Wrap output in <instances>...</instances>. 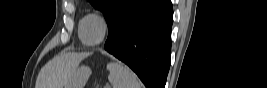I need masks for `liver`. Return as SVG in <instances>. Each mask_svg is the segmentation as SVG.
I'll list each match as a JSON object with an SVG mask.
<instances>
[{"mask_svg": "<svg viewBox=\"0 0 267 88\" xmlns=\"http://www.w3.org/2000/svg\"><path fill=\"white\" fill-rule=\"evenodd\" d=\"M86 56V53L57 55L41 68L35 88H63Z\"/></svg>", "mask_w": 267, "mask_h": 88, "instance_id": "6515ba94", "label": "liver"}]
</instances>
